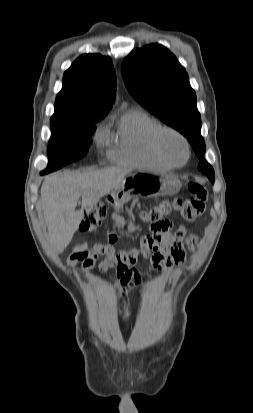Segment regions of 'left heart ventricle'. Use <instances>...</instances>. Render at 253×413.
<instances>
[{
  "label": "left heart ventricle",
  "mask_w": 253,
  "mask_h": 413,
  "mask_svg": "<svg viewBox=\"0 0 253 413\" xmlns=\"http://www.w3.org/2000/svg\"><path fill=\"white\" fill-rule=\"evenodd\" d=\"M166 152L171 159L177 163H182L186 158V150L183 143L173 135H167L164 139Z\"/></svg>",
  "instance_id": "obj_1"
}]
</instances>
